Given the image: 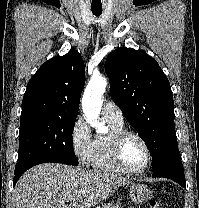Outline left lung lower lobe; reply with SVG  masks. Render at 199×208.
<instances>
[{"mask_svg":"<svg viewBox=\"0 0 199 208\" xmlns=\"http://www.w3.org/2000/svg\"><path fill=\"white\" fill-rule=\"evenodd\" d=\"M152 176L169 178L176 181L182 187H186L179 150L170 154L161 164L154 167Z\"/></svg>","mask_w":199,"mask_h":208,"instance_id":"0a47b994","label":"left lung lower lobe"}]
</instances>
